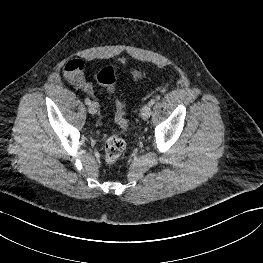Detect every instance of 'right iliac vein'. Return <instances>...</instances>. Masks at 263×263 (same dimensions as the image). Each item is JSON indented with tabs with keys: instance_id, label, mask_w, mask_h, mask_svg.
I'll return each mask as SVG.
<instances>
[{
	"instance_id": "63e3f726",
	"label": "right iliac vein",
	"mask_w": 263,
	"mask_h": 263,
	"mask_svg": "<svg viewBox=\"0 0 263 263\" xmlns=\"http://www.w3.org/2000/svg\"><path fill=\"white\" fill-rule=\"evenodd\" d=\"M88 111L90 114H96L98 111V104L96 102H92L89 104Z\"/></svg>"
}]
</instances>
